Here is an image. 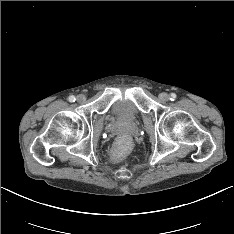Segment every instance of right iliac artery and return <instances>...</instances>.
Returning a JSON list of instances; mask_svg holds the SVG:
<instances>
[{"mask_svg":"<svg viewBox=\"0 0 234 234\" xmlns=\"http://www.w3.org/2000/svg\"><path fill=\"white\" fill-rule=\"evenodd\" d=\"M69 102H74L76 100L75 96L71 95L68 98Z\"/></svg>","mask_w":234,"mask_h":234,"instance_id":"right-iliac-artery-1","label":"right iliac artery"}]
</instances>
